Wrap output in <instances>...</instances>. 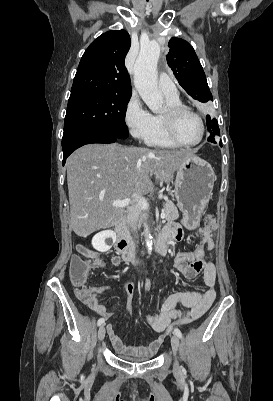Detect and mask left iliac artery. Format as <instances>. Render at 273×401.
Masks as SVG:
<instances>
[{
    "instance_id": "44dca946",
    "label": "left iliac artery",
    "mask_w": 273,
    "mask_h": 401,
    "mask_svg": "<svg viewBox=\"0 0 273 401\" xmlns=\"http://www.w3.org/2000/svg\"><path fill=\"white\" fill-rule=\"evenodd\" d=\"M174 334H175L177 337L182 338V333H181V331H180L178 328H175V329H174Z\"/></svg>"
}]
</instances>
